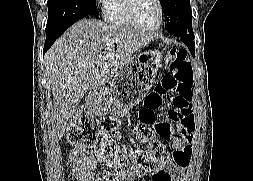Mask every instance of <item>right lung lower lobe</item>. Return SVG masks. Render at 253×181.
<instances>
[{
    "label": "right lung lower lobe",
    "mask_w": 253,
    "mask_h": 181,
    "mask_svg": "<svg viewBox=\"0 0 253 181\" xmlns=\"http://www.w3.org/2000/svg\"><path fill=\"white\" fill-rule=\"evenodd\" d=\"M69 26H67V27H65V28H63V29H61L57 32L46 34V41H45V45H44V49H43L44 53L51 47V45L55 42V40L65 32V30Z\"/></svg>",
    "instance_id": "98d812e1"
}]
</instances>
